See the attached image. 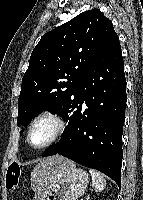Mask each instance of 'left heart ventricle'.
<instances>
[{
	"instance_id": "1",
	"label": "left heart ventricle",
	"mask_w": 143,
	"mask_h": 200,
	"mask_svg": "<svg viewBox=\"0 0 143 200\" xmlns=\"http://www.w3.org/2000/svg\"><path fill=\"white\" fill-rule=\"evenodd\" d=\"M55 131V125L52 121L44 120L37 123L30 135V142L33 146H39L48 141Z\"/></svg>"
}]
</instances>
